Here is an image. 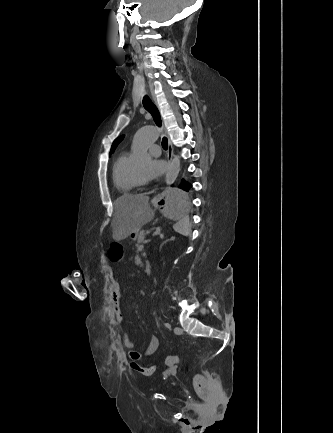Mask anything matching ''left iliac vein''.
<instances>
[{
    "label": "left iliac vein",
    "mask_w": 333,
    "mask_h": 433,
    "mask_svg": "<svg viewBox=\"0 0 333 433\" xmlns=\"http://www.w3.org/2000/svg\"><path fill=\"white\" fill-rule=\"evenodd\" d=\"M174 333L177 334V335H181V334H183V329L180 328V327H175L174 328Z\"/></svg>",
    "instance_id": "4c4485c4"
}]
</instances>
